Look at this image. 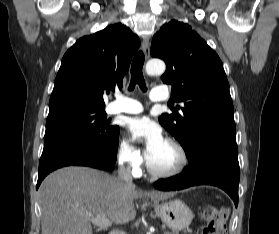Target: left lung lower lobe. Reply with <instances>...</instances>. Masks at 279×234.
<instances>
[{
	"instance_id": "obj_1",
	"label": "left lung lower lobe",
	"mask_w": 279,
	"mask_h": 234,
	"mask_svg": "<svg viewBox=\"0 0 279 234\" xmlns=\"http://www.w3.org/2000/svg\"><path fill=\"white\" fill-rule=\"evenodd\" d=\"M189 166L155 187L162 191L180 190L194 185H214L225 190L238 205L240 169L236 131L215 130L201 136L188 157Z\"/></svg>"
}]
</instances>
